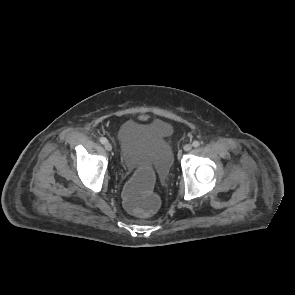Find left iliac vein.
Segmentation results:
<instances>
[{"label": "left iliac vein", "instance_id": "left-iliac-vein-1", "mask_svg": "<svg viewBox=\"0 0 295 295\" xmlns=\"http://www.w3.org/2000/svg\"><path fill=\"white\" fill-rule=\"evenodd\" d=\"M192 149V145L191 144H186L184 145V151L188 152Z\"/></svg>", "mask_w": 295, "mask_h": 295}]
</instances>
